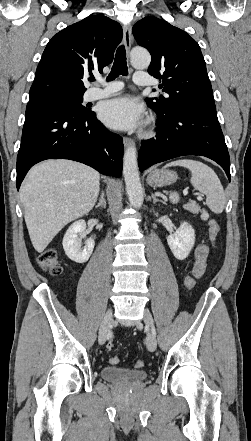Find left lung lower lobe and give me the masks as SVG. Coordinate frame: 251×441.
Wrapping results in <instances>:
<instances>
[{
  "mask_svg": "<svg viewBox=\"0 0 251 441\" xmlns=\"http://www.w3.org/2000/svg\"><path fill=\"white\" fill-rule=\"evenodd\" d=\"M156 138L141 142L138 165L142 172L153 164L184 155H201L217 162L230 181V159L215 104L183 106L158 116Z\"/></svg>",
  "mask_w": 251,
  "mask_h": 441,
  "instance_id": "obj_1",
  "label": "left lung lower lobe"
}]
</instances>
